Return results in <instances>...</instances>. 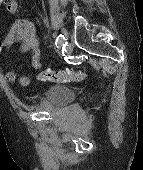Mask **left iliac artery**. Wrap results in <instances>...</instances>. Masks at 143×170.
<instances>
[{"label":"left iliac artery","instance_id":"44dca946","mask_svg":"<svg viewBox=\"0 0 143 170\" xmlns=\"http://www.w3.org/2000/svg\"><path fill=\"white\" fill-rule=\"evenodd\" d=\"M65 44H66V39H65L64 35L59 34L55 41L56 47H60L61 45L65 46Z\"/></svg>","mask_w":143,"mask_h":170}]
</instances>
